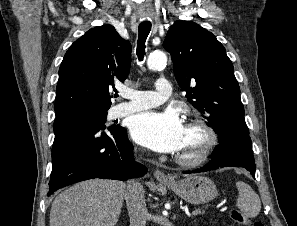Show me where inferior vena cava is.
<instances>
[{
  "label": "inferior vena cava",
  "instance_id": "obj_1",
  "mask_svg": "<svg viewBox=\"0 0 297 226\" xmlns=\"http://www.w3.org/2000/svg\"><path fill=\"white\" fill-rule=\"evenodd\" d=\"M124 197L130 217V226H146L149 214L142 185L134 181L129 182Z\"/></svg>",
  "mask_w": 297,
  "mask_h": 226
}]
</instances>
